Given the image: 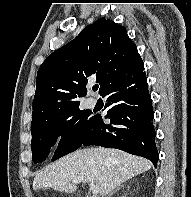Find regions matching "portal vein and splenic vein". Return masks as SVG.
I'll list each match as a JSON object with an SVG mask.
<instances>
[{
  "label": "portal vein and splenic vein",
  "mask_w": 191,
  "mask_h": 197,
  "mask_svg": "<svg viewBox=\"0 0 191 197\" xmlns=\"http://www.w3.org/2000/svg\"><path fill=\"white\" fill-rule=\"evenodd\" d=\"M73 182L78 184V183L81 182V180L80 179H75V180H73ZM89 186H90V190L92 191V196L96 197L98 195V193H99V187L96 186L93 183H90Z\"/></svg>",
  "instance_id": "obj_1"
}]
</instances>
